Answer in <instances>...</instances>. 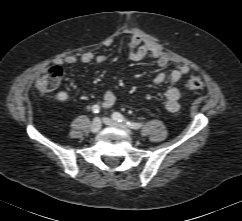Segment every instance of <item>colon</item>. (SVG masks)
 <instances>
[{"label":"colon","instance_id":"5ec220e1","mask_svg":"<svg viewBox=\"0 0 242 221\" xmlns=\"http://www.w3.org/2000/svg\"><path fill=\"white\" fill-rule=\"evenodd\" d=\"M63 71L59 66H51L43 70L36 81V88L40 93H49L54 91L60 84ZM203 82L199 76H192L187 81L189 89H200Z\"/></svg>","mask_w":242,"mask_h":221}]
</instances>
